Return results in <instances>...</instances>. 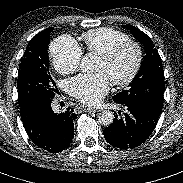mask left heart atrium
<instances>
[{
  "mask_svg": "<svg viewBox=\"0 0 183 183\" xmlns=\"http://www.w3.org/2000/svg\"><path fill=\"white\" fill-rule=\"evenodd\" d=\"M111 81L104 72L81 74L67 84L68 92L87 105H96L108 93Z\"/></svg>",
  "mask_w": 183,
  "mask_h": 183,
  "instance_id": "1",
  "label": "left heart atrium"
}]
</instances>
